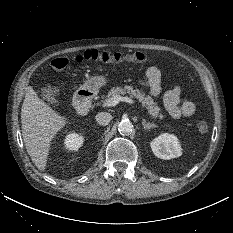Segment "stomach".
<instances>
[{"instance_id": "0dacf381", "label": "stomach", "mask_w": 233, "mask_h": 233, "mask_svg": "<svg viewBox=\"0 0 233 233\" xmlns=\"http://www.w3.org/2000/svg\"><path fill=\"white\" fill-rule=\"evenodd\" d=\"M107 83V78L102 75L91 76L83 84L82 88L88 91H96Z\"/></svg>"}]
</instances>
